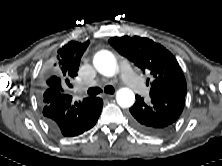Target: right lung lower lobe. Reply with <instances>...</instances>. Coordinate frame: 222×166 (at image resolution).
Masks as SVG:
<instances>
[{
	"instance_id": "98d812e1",
	"label": "right lung lower lobe",
	"mask_w": 222,
	"mask_h": 166,
	"mask_svg": "<svg viewBox=\"0 0 222 166\" xmlns=\"http://www.w3.org/2000/svg\"><path fill=\"white\" fill-rule=\"evenodd\" d=\"M41 103L48 126L65 137L77 136L92 128L103 106L99 97L73 102L72 96L51 88L44 91Z\"/></svg>"
}]
</instances>
